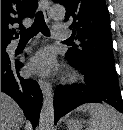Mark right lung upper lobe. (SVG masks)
Masks as SVG:
<instances>
[{"mask_svg":"<svg viewBox=\"0 0 123 130\" xmlns=\"http://www.w3.org/2000/svg\"><path fill=\"white\" fill-rule=\"evenodd\" d=\"M36 3L37 0H1V45H8L13 39L14 24H19V29L24 28L22 20L35 14Z\"/></svg>","mask_w":123,"mask_h":130,"instance_id":"right-lung-upper-lobe-1","label":"right lung upper lobe"}]
</instances>
